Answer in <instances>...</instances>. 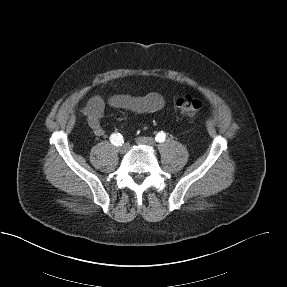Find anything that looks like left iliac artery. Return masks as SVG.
I'll return each mask as SVG.
<instances>
[{
  "instance_id": "1",
  "label": "left iliac artery",
  "mask_w": 287,
  "mask_h": 287,
  "mask_svg": "<svg viewBox=\"0 0 287 287\" xmlns=\"http://www.w3.org/2000/svg\"><path fill=\"white\" fill-rule=\"evenodd\" d=\"M165 139H166V134L163 131L159 132L155 137V140L159 143L164 142Z\"/></svg>"
}]
</instances>
